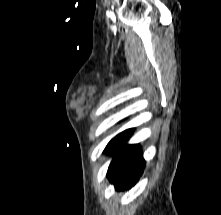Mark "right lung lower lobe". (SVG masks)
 Returning a JSON list of instances; mask_svg holds the SVG:
<instances>
[{
    "instance_id": "right-lung-lower-lobe-1",
    "label": "right lung lower lobe",
    "mask_w": 221,
    "mask_h": 215,
    "mask_svg": "<svg viewBox=\"0 0 221 215\" xmlns=\"http://www.w3.org/2000/svg\"><path fill=\"white\" fill-rule=\"evenodd\" d=\"M134 129L118 134L106 147L107 153L113 154L107 176L116 190L131 188L142 175L145 160L138 144H126Z\"/></svg>"
}]
</instances>
